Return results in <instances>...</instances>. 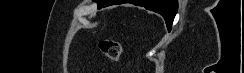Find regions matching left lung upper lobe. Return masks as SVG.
<instances>
[{"label":"left lung upper lobe","mask_w":244,"mask_h":73,"mask_svg":"<svg viewBox=\"0 0 244 73\" xmlns=\"http://www.w3.org/2000/svg\"><path fill=\"white\" fill-rule=\"evenodd\" d=\"M98 4V8H102V7H105V5H103V3L106 1V0H95Z\"/></svg>","instance_id":"5c2ea615"}]
</instances>
